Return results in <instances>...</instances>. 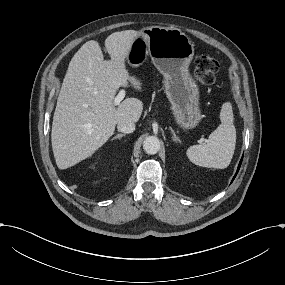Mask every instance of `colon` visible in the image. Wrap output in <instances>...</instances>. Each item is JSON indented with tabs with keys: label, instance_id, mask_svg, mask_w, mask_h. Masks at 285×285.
<instances>
[{
	"label": "colon",
	"instance_id": "5ec220e1",
	"mask_svg": "<svg viewBox=\"0 0 285 285\" xmlns=\"http://www.w3.org/2000/svg\"><path fill=\"white\" fill-rule=\"evenodd\" d=\"M219 68V62L210 55L199 56L195 61L194 76L202 86L210 87L215 82V75Z\"/></svg>",
	"mask_w": 285,
	"mask_h": 285
}]
</instances>
